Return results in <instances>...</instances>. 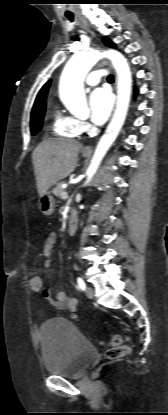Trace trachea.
<instances>
[{"label": "trachea", "instance_id": "obj_1", "mask_svg": "<svg viewBox=\"0 0 168 415\" xmlns=\"http://www.w3.org/2000/svg\"><path fill=\"white\" fill-rule=\"evenodd\" d=\"M67 18L70 21H73L74 20V16L73 15H67ZM107 79H108L109 82H113V80H114L113 75H109Z\"/></svg>", "mask_w": 168, "mask_h": 415}]
</instances>
